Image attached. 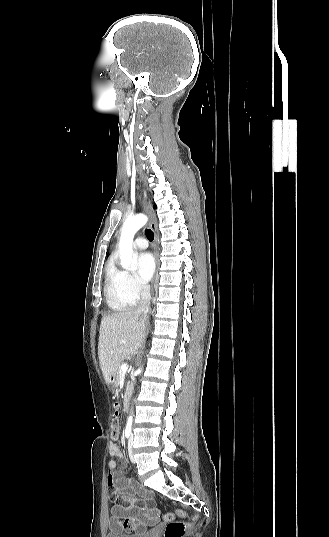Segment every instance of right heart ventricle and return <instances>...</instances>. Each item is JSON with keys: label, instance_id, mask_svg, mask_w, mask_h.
Masks as SVG:
<instances>
[{"label": "right heart ventricle", "instance_id": "1", "mask_svg": "<svg viewBox=\"0 0 329 537\" xmlns=\"http://www.w3.org/2000/svg\"><path fill=\"white\" fill-rule=\"evenodd\" d=\"M105 295L108 306L113 311H122L135 304L127 298L119 286V271L110 266L106 273Z\"/></svg>", "mask_w": 329, "mask_h": 537}]
</instances>
